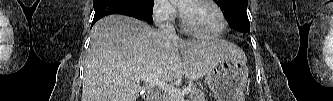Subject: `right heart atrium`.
I'll use <instances>...</instances> for the list:
<instances>
[{
  "label": "right heart atrium",
  "instance_id": "1",
  "mask_svg": "<svg viewBox=\"0 0 333 101\" xmlns=\"http://www.w3.org/2000/svg\"><path fill=\"white\" fill-rule=\"evenodd\" d=\"M152 15L158 25H169L177 17V9L169 0H155Z\"/></svg>",
  "mask_w": 333,
  "mask_h": 101
}]
</instances>
